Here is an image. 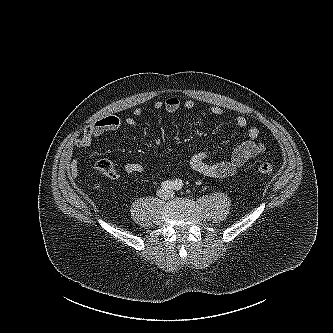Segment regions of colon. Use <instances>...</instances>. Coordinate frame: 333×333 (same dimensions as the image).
Segmentation results:
<instances>
[{
  "instance_id": "5ec220e1",
  "label": "colon",
  "mask_w": 333,
  "mask_h": 333,
  "mask_svg": "<svg viewBox=\"0 0 333 333\" xmlns=\"http://www.w3.org/2000/svg\"><path fill=\"white\" fill-rule=\"evenodd\" d=\"M257 170L262 174H269L274 171L275 165L273 162L268 160H262L257 163Z\"/></svg>"
}]
</instances>
